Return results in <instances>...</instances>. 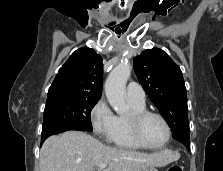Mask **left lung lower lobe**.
I'll return each instance as SVG.
<instances>
[{"mask_svg":"<svg viewBox=\"0 0 223 171\" xmlns=\"http://www.w3.org/2000/svg\"><path fill=\"white\" fill-rule=\"evenodd\" d=\"M187 148V150H189V146H185Z\"/></svg>","mask_w":223,"mask_h":171,"instance_id":"obj_1","label":"left lung lower lobe"}]
</instances>
